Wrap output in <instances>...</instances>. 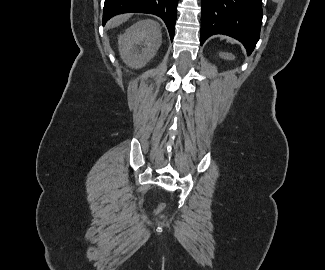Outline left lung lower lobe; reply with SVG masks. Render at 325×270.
<instances>
[{
	"label": "left lung lower lobe",
	"mask_w": 325,
	"mask_h": 270,
	"mask_svg": "<svg viewBox=\"0 0 325 270\" xmlns=\"http://www.w3.org/2000/svg\"><path fill=\"white\" fill-rule=\"evenodd\" d=\"M201 45L214 34L239 40L248 55L260 36L262 0H201Z\"/></svg>",
	"instance_id": "1"
}]
</instances>
